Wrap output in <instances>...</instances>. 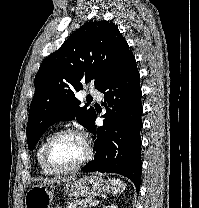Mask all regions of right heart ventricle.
I'll list each match as a JSON object with an SVG mask.
<instances>
[{"instance_id":"right-heart-ventricle-1","label":"right heart ventricle","mask_w":199,"mask_h":208,"mask_svg":"<svg viewBox=\"0 0 199 208\" xmlns=\"http://www.w3.org/2000/svg\"><path fill=\"white\" fill-rule=\"evenodd\" d=\"M53 133H47L41 140L38 149H37V153H36V159H37V163L42 171L43 174L45 175H53L55 174L53 171H51L48 166L46 165L45 161H44V147L46 142L48 141V139L50 138V136Z\"/></svg>"}]
</instances>
